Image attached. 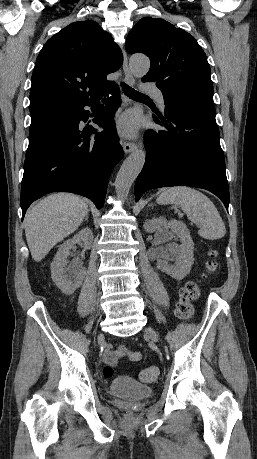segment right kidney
<instances>
[{
    "label": "right kidney",
    "mask_w": 257,
    "mask_h": 459,
    "mask_svg": "<svg viewBox=\"0 0 257 459\" xmlns=\"http://www.w3.org/2000/svg\"><path fill=\"white\" fill-rule=\"evenodd\" d=\"M92 241V231L89 228H84L72 239L65 241L55 255L51 263V278L64 294H73L81 286L85 276L84 269L78 265L67 266L70 250L78 242H82L85 249H90Z\"/></svg>",
    "instance_id": "obj_1"
}]
</instances>
